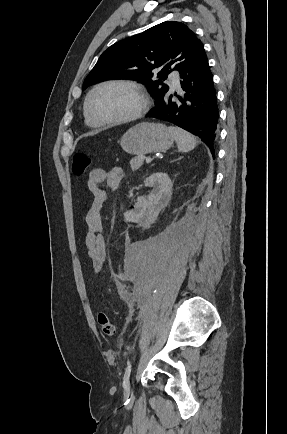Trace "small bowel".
<instances>
[{
  "instance_id": "small-bowel-1",
  "label": "small bowel",
  "mask_w": 287,
  "mask_h": 434,
  "mask_svg": "<svg viewBox=\"0 0 287 434\" xmlns=\"http://www.w3.org/2000/svg\"><path fill=\"white\" fill-rule=\"evenodd\" d=\"M123 179V171L114 167L109 170L94 168L88 176V189L93 199L85 214L87 232L85 234V250L94 271H101L106 259V246L103 233L102 208L107 199L105 184L111 190H117Z\"/></svg>"
}]
</instances>
